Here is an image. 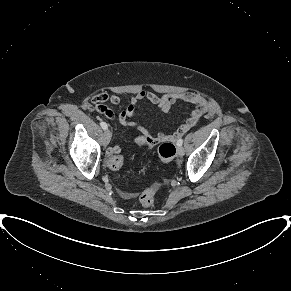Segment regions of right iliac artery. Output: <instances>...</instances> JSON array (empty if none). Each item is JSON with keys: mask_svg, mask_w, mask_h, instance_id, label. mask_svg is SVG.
<instances>
[{"mask_svg": "<svg viewBox=\"0 0 291 291\" xmlns=\"http://www.w3.org/2000/svg\"><path fill=\"white\" fill-rule=\"evenodd\" d=\"M102 129L106 130L108 128L107 124L105 122L100 123Z\"/></svg>", "mask_w": 291, "mask_h": 291, "instance_id": "obj_1", "label": "right iliac artery"}]
</instances>
